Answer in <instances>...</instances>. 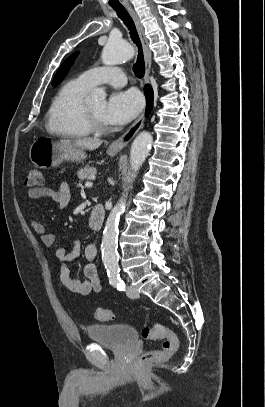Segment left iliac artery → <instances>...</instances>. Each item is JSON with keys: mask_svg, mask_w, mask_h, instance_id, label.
I'll return each mask as SVG.
<instances>
[{"mask_svg": "<svg viewBox=\"0 0 265 407\" xmlns=\"http://www.w3.org/2000/svg\"><path fill=\"white\" fill-rule=\"evenodd\" d=\"M110 284L115 286L119 291H125V283L119 276L115 277V278H111Z\"/></svg>", "mask_w": 265, "mask_h": 407, "instance_id": "left-iliac-artery-1", "label": "left iliac artery"}]
</instances>
